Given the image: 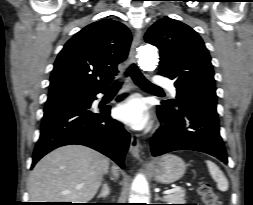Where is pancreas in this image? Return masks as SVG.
<instances>
[{
    "label": "pancreas",
    "mask_w": 253,
    "mask_h": 205,
    "mask_svg": "<svg viewBox=\"0 0 253 205\" xmlns=\"http://www.w3.org/2000/svg\"><path fill=\"white\" fill-rule=\"evenodd\" d=\"M169 204H184L185 202V191L182 189L176 190L173 193L165 195L162 199Z\"/></svg>",
    "instance_id": "cf45deb5"
}]
</instances>
